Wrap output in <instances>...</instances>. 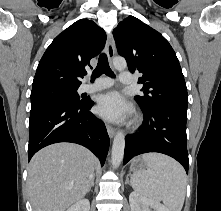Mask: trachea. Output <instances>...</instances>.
Listing matches in <instances>:
<instances>
[{
	"label": "trachea",
	"mask_w": 221,
	"mask_h": 211,
	"mask_svg": "<svg viewBox=\"0 0 221 211\" xmlns=\"http://www.w3.org/2000/svg\"><path fill=\"white\" fill-rule=\"evenodd\" d=\"M102 74H106L109 77L115 78L114 72L110 69L108 58L105 53H102L99 56L97 67L94 69L91 81H93L95 78H98Z\"/></svg>",
	"instance_id": "trachea-1"
}]
</instances>
